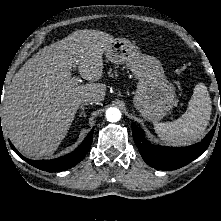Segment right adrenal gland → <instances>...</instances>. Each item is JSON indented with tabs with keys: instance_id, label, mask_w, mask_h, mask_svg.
I'll use <instances>...</instances> for the list:
<instances>
[{
	"instance_id": "1",
	"label": "right adrenal gland",
	"mask_w": 221,
	"mask_h": 221,
	"mask_svg": "<svg viewBox=\"0 0 221 221\" xmlns=\"http://www.w3.org/2000/svg\"><path fill=\"white\" fill-rule=\"evenodd\" d=\"M85 105H86V104H82V105L80 106L81 111L79 112V117H81V116L86 117Z\"/></svg>"
}]
</instances>
